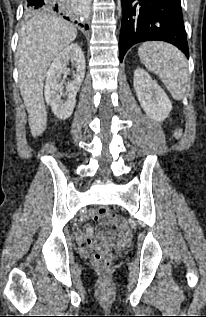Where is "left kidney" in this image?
Returning a JSON list of instances; mask_svg holds the SVG:
<instances>
[{"label": "left kidney", "instance_id": "1", "mask_svg": "<svg viewBox=\"0 0 206 317\" xmlns=\"http://www.w3.org/2000/svg\"><path fill=\"white\" fill-rule=\"evenodd\" d=\"M134 89L143 110L154 120L164 121L172 104L164 90L143 69L134 72Z\"/></svg>", "mask_w": 206, "mask_h": 317}]
</instances>
